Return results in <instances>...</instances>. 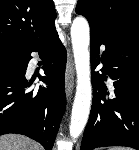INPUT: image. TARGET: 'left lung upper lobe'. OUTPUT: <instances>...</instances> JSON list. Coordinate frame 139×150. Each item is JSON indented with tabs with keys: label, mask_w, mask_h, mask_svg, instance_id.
I'll return each instance as SVG.
<instances>
[{
	"label": "left lung upper lobe",
	"mask_w": 139,
	"mask_h": 150,
	"mask_svg": "<svg viewBox=\"0 0 139 150\" xmlns=\"http://www.w3.org/2000/svg\"><path fill=\"white\" fill-rule=\"evenodd\" d=\"M76 13L106 40L139 26V0H79Z\"/></svg>",
	"instance_id": "5c2ea615"
}]
</instances>
